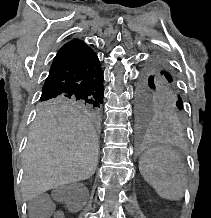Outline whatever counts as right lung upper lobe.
I'll return each mask as SVG.
<instances>
[{
    "instance_id": "1",
    "label": "right lung upper lobe",
    "mask_w": 211,
    "mask_h": 218,
    "mask_svg": "<svg viewBox=\"0 0 211 218\" xmlns=\"http://www.w3.org/2000/svg\"><path fill=\"white\" fill-rule=\"evenodd\" d=\"M92 49L88 47L84 42L80 40H72L68 43H66L57 53L56 57L54 58V61L71 56L74 54L82 53L91 51Z\"/></svg>"
}]
</instances>
